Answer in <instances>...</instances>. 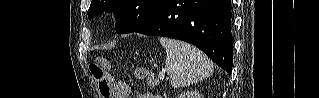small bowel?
I'll return each mask as SVG.
<instances>
[{
	"label": "small bowel",
	"instance_id": "1",
	"mask_svg": "<svg viewBox=\"0 0 319 98\" xmlns=\"http://www.w3.org/2000/svg\"><path fill=\"white\" fill-rule=\"evenodd\" d=\"M112 88H113V98H128L132 92V88L129 84L124 81H117L114 79H110ZM136 98H155L149 93H137L135 95Z\"/></svg>",
	"mask_w": 319,
	"mask_h": 98
}]
</instances>
